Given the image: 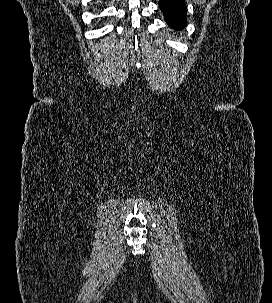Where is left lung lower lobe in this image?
I'll use <instances>...</instances> for the list:
<instances>
[{"label": "left lung lower lobe", "instance_id": "left-lung-lower-lobe-1", "mask_svg": "<svg viewBox=\"0 0 272 303\" xmlns=\"http://www.w3.org/2000/svg\"><path fill=\"white\" fill-rule=\"evenodd\" d=\"M159 8L171 28L182 30L186 26L187 7L184 0H159Z\"/></svg>", "mask_w": 272, "mask_h": 303}]
</instances>
